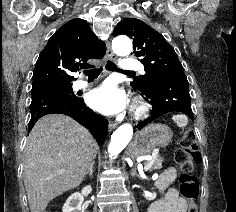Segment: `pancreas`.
<instances>
[{"mask_svg": "<svg viewBox=\"0 0 236 212\" xmlns=\"http://www.w3.org/2000/svg\"><path fill=\"white\" fill-rule=\"evenodd\" d=\"M162 162H163V159L161 157H159L158 155L153 158L152 160L150 161H147L145 163V165H148L150 164V167L148 168V170H153V169H161L162 168Z\"/></svg>", "mask_w": 236, "mask_h": 212, "instance_id": "obj_1", "label": "pancreas"}]
</instances>
